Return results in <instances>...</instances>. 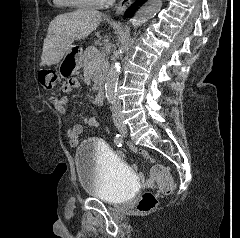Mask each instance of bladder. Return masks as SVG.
<instances>
[{
  "label": "bladder",
  "instance_id": "bladder-1",
  "mask_svg": "<svg viewBox=\"0 0 240 238\" xmlns=\"http://www.w3.org/2000/svg\"><path fill=\"white\" fill-rule=\"evenodd\" d=\"M77 179L90 196L110 204L125 203L137 190L127 163L104 142L88 139L75 152Z\"/></svg>",
  "mask_w": 240,
  "mask_h": 238
}]
</instances>
